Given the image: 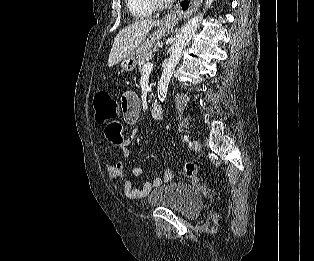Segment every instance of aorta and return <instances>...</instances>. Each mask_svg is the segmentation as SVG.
Returning <instances> with one entry per match:
<instances>
[{
    "label": "aorta",
    "instance_id": "obj_1",
    "mask_svg": "<svg viewBox=\"0 0 314 261\" xmlns=\"http://www.w3.org/2000/svg\"><path fill=\"white\" fill-rule=\"evenodd\" d=\"M214 0L205 1V9L209 8ZM203 18V13H199L197 16L188 20L185 25L181 28L180 33L176 37V41L172 46L170 57L163 69L159 85H158V99L160 102H164L167 95V89L171 80L173 71L178 64L183 50L190 43L192 36L199 28L200 21Z\"/></svg>",
    "mask_w": 314,
    "mask_h": 261
}]
</instances>
